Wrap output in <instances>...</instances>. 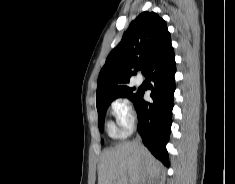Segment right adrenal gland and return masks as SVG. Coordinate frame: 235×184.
Instances as JSON below:
<instances>
[{"mask_svg": "<svg viewBox=\"0 0 235 184\" xmlns=\"http://www.w3.org/2000/svg\"><path fill=\"white\" fill-rule=\"evenodd\" d=\"M148 184H153V180H149Z\"/></svg>", "mask_w": 235, "mask_h": 184, "instance_id": "right-adrenal-gland-1", "label": "right adrenal gland"}]
</instances>
